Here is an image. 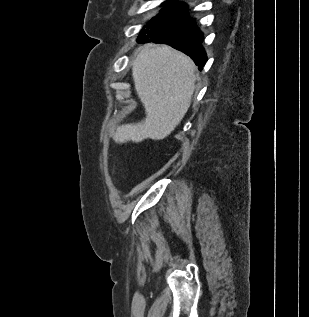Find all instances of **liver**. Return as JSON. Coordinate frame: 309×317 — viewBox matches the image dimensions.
<instances>
[{
    "label": "liver",
    "instance_id": "1",
    "mask_svg": "<svg viewBox=\"0 0 309 317\" xmlns=\"http://www.w3.org/2000/svg\"><path fill=\"white\" fill-rule=\"evenodd\" d=\"M132 77L146 118L118 126L111 137L120 144L164 139L190 107L195 89L193 61L167 45H146L133 62Z\"/></svg>",
    "mask_w": 309,
    "mask_h": 317
}]
</instances>
